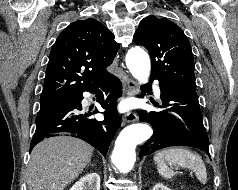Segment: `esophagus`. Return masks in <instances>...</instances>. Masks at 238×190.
Segmentation results:
<instances>
[{"instance_id": "34e87169", "label": "esophagus", "mask_w": 238, "mask_h": 190, "mask_svg": "<svg viewBox=\"0 0 238 190\" xmlns=\"http://www.w3.org/2000/svg\"><path fill=\"white\" fill-rule=\"evenodd\" d=\"M122 82H123L127 95H134L138 92L137 83L128 75L124 74ZM136 120H137V115L133 112L127 113L123 118V122H127V123L134 122Z\"/></svg>"}]
</instances>
